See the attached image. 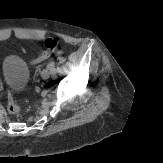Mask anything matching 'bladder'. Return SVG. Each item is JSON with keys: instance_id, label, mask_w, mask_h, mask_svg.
Wrapping results in <instances>:
<instances>
[{"instance_id": "31cf9c89", "label": "bladder", "mask_w": 163, "mask_h": 163, "mask_svg": "<svg viewBox=\"0 0 163 163\" xmlns=\"http://www.w3.org/2000/svg\"><path fill=\"white\" fill-rule=\"evenodd\" d=\"M30 70L27 64L17 55H8L2 62V80L12 91L23 90L29 81Z\"/></svg>"}]
</instances>
